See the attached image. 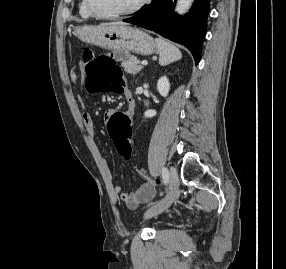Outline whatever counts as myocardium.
<instances>
[{
  "mask_svg": "<svg viewBox=\"0 0 286 269\" xmlns=\"http://www.w3.org/2000/svg\"><path fill=\"white\" fill-rule=\"evenodd\" d=\"M150 2H151V0H140L132 8L125 10V11H122V12L115 13V14L98 13L93 8L91 0H85V5H86L87 11L90 13L91 16H93L97 19L112 20V19H119V18H123V17H127L130 15L136 14V13L140 12L141 10H143Z\"/></svg>",
  "mask_w": 286,
  "mask_h": 269,
  "instance_id": "myocardium-1",
  "label": "myocardium"
}]
</instances>
